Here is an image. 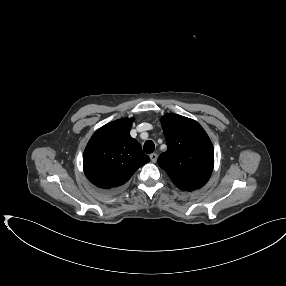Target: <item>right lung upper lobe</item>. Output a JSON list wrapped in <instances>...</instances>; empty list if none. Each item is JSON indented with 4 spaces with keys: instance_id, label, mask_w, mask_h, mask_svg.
<instances>
[{
    "instance_id": "right-lung-upper-lobe-1",
    "label": "right lung upper lobe",
    "mask_w": 286,
    "mask_h": 286,
    "mask_svg": "<svg viewBox=\"0 0 286 286\" xmlns=\"http://www.w3.org/2000/svg\"><path fill=\"white\" fill-rule=\"evenodd\" d=\"M134 118H124L98 129L83 155L86 177L103 191L125 184L136 170L150 161L139 142L130 136Z\"/></svg>"
}]
</instances>
